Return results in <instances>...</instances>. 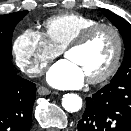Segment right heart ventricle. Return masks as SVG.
<instances>
[{
  "instance_id": "obj_1",
  "label": "right heart ventricle",
  "mask_w": 131,
  "mask_h": 131,
  "mask_svg": "<svg viewBox=\"0 0 131 131\" xmlns=\"http://www.w3.org/2000/svg\"><path fill=\"white\" fill-rule=\"evenodd\" d=\"M98 23L89 16L65 13L45 21V36L56 49L62 51L83 30Z\"/></svg>"
}]
</instances>
